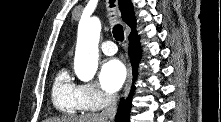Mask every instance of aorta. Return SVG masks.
<instances>
[{
  "instance_id": "obj_1",
  "label": "aorta",
  "mask_w": 221,
  "mask_h": 122,
  "mask_svg": "<svg viewBox=\"0 0 221 122\" xmlns=\"http://www.w3.org/2000/svg\"><path fill=\"white\" fill-rule=\"evenodd\" d=\"M100 31L101 22L97 17L79 23L74 70L81 81L92 80L97 71Z\"/></svg>"
}]
</instances>
